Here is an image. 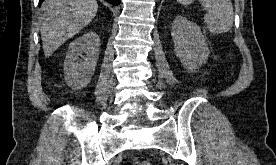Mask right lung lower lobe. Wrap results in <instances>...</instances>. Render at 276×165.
<instances>
[{
  "label": "right lung lower lobe",
  "instance_id": "98d812e1",
  "mask_svg": "<svg viewBox=\"0 0 276 165\" xmlns=\"http://www.w3.org/2000/svg\"><path fill=\"white\" fill-rule=\"evenodd\" d=\"M44 0H40V4L43 2ZM109 3H111L112 5H119L120 4V0H106Z\"/></svg>",
  "mask_w": 276,
  "mask_h": 165
}]
</instances>
